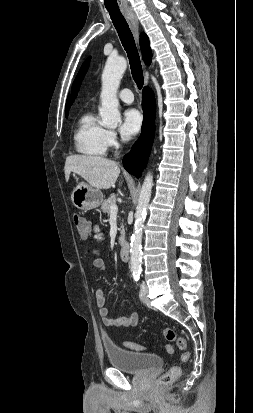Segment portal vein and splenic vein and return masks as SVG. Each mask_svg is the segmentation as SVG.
Segmentation results:
<instances>
[{"label":"portal vein and splenic vein","instance_id":"obj_1","mask_svg":"<svg viewBox=\"0 0 253 413\" xmlns=\"http://www.w3.org/2000/svg\"><path fill=\"white\" fill-rule=\"evenodd\" d=\"M118 212V207L116 205H113L110 207V214L111 215H116Z\"/></svg>","mask_w":253,"mask_h":413}]
</instances>
